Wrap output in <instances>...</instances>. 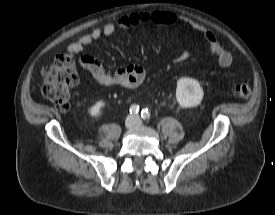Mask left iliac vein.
<instances>
[{"label":"left iliac vein","instance_id":"left-iliac-vein-1","mask_svg":"<svg viewBox=\"0 0 275 215\" xmlns=\"http://www.w3.org/2000/svg\"><path fill=\"white\" fill-rule=\"evenodd\" d=\"M135 119H136L135 125L138 127L142 126V121L137 116L135 117Z\"/></svg>","mask_w":275,"mask_h":215}]
</instances>
